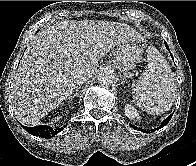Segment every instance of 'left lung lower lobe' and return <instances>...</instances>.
I'll return each instance as SVG.
<instances>
[{
	"instance_id": "1",
	"label": "left lung lower lobe",
	"mask_w": 196,
	"mask_h": 166,
	"mask_svg": "<svg viewBox=\"0 0 196 166\" xmlns=\"http://www.w3.org/2000/svg\"><path fill=\"white\" fill-rule=\"evenodd\" d=\"M165 44H166V48L169 50V47H168L167 43H165ZM170 54H171V53H170ZM171 56H172V54H171ZM172 58H173V56H172ZM172 115H173V114H171L170 116H168V117L162 122V124H161L159 127L155 128V129H151V130H149V131L143 130L142 128H137L136 126H133V125H131V124H130V126H131L132 128H134V129H139V130L142 131V132L151 133V132L156 131V130L159 129V128L164 127V126L171 120Z\"/></svg>"
}]
</instances>
